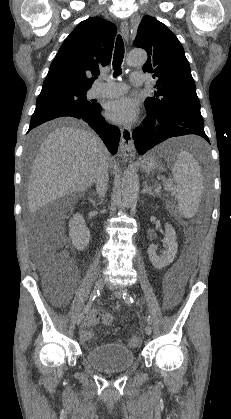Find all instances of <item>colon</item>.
Instances as JSON below:
<instances>
[{
    "instance_id": "obj_1",
    "label": "colon",
    "mask_w": 231,
    "mask_h": 419,
    "mask_svg": "<svg viewBox=\"0 0 231 419\" xmlns=\"http://www.w3.org/2000/svg\"><path fill=\"white\" fill-rule=\"evenodd\" d=\"M42 271L46 282L53 289L60 288L67 291L75 277L72 265L61 251L45 253ZM102 322L106 326H112L115 322L114 316L110 313H104ZM138 343L137 338H132L129 342L133 347L138 346Z\"/></svg>"
}]
</instances>
